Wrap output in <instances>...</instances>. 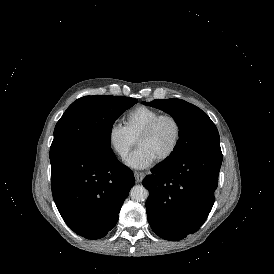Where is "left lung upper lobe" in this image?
<instances>
[{"mask_svg": "<svg viewBox=\"0 0 274 274\" xmlns=\"http://www.w3.org/2000/svg\"><path fill=\"white\" fill-rule=\"evenodd\" d=\"M170 114L179 128V140L163 163H171L195 152L221 149L218 130L212 120L198 107L181 99L144 102Z\"/></svg>", "mask_w": 274, "mask_h": 274, "instance_id": "1", "label": "left lung upper lobe"}]
</instances>
